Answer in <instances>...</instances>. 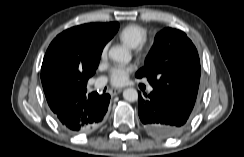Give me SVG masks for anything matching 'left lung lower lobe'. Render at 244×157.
Segmentation results:
<instances>
[{"label":"left lung lower lobe","mask_w":244,"mask_h":157,"mask_svg":"<svg viewBox=\"0 0 244 157\" xmlns=\"http://www.w3.org/2000/svg\"><path fill=\"white\" fill-rule=\"evenodd\" d=\"M153 87L150 94L139 93L138 114L145 128L161 138H172L181 134L193 117L190 108L180 106L160 89Z\"/></svg>","instance_id":"1"}]
</instances>
